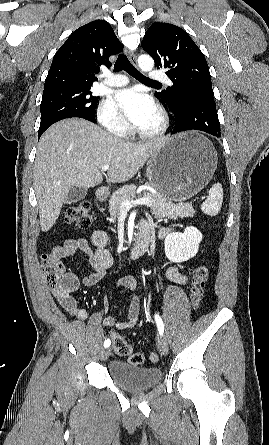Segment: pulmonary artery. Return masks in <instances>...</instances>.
<instances>
[{
    "label": "pulmonary artery",
    "mask_w": 269,
    "mask_h": 445,
    "mask_svg": "<svg viewBox=\"0 0 269 445\" xmlns=\"http://www.w3.org/2000/svg\"><path fill=\"white\" fill-rule=\"evenodd\" d=\"M149 78L154 81H163L167 84H171V81L169 78L162 72L153 71L149 73ZM104 84L111 86V87H119L126 85L128 82V79L123 75H111L104 79Z\"/></svg>",
    "instance_id": "obj_1"
}]
</instances>
